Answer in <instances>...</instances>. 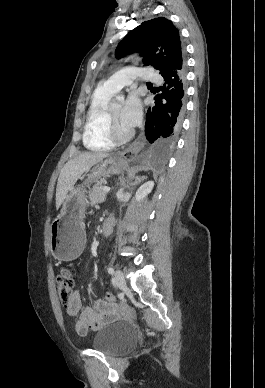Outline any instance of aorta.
Segmentation results:
<instances>
[{"label":"aorta","mask_w":265,"mask_h":388,"mask_svg":"<svg viewBox=\"0 0 265 388\" xmlns=\"http://www.w3.org/2000/svg\"><path fill=\"white\" fill-rule=\"evenodd\" d=\"M116 99L118 101H122L124 99V96L123 95H118V96H116Z\"/></svg>","instance_id":"762f6f07"}]
</instances>
